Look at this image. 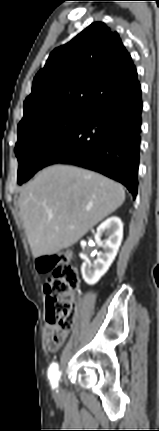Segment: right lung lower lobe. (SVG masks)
Returning a JSON list of instances; mask_svg holds the SVG:
<instances>
[{
    "mask_svg": "<svg viewBox=\"0 0 159 431\" xmlns=\"http://www.w3.org/2000/svg\"><path fill=\"white\" fill-rule=\"evenodd\" d=\"M142 107L138 82L89 113L48 152L42 168L67 163L97 171L125 185L135 198Z\"/></svg>",
    "mask_w": 159,
    "mask_h": 431,
    "instance_id": "1",
    "label": "right lung lower lobe"
}]
</instances>
